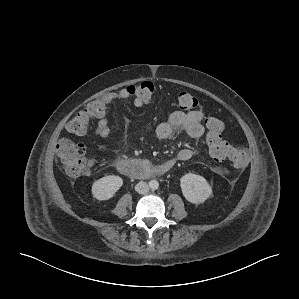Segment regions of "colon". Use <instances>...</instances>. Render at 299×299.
<instances>
[{"mask_svg": "<svg viewBox=\"0 0 299 299\" xmlns=\"http://www.w3.org/2000/svg\"><path fill=\"white\" fill-rule=\"evenodd\" d=\"M129 94L143 103L151 101L157 94L156 86L145 81L127 87ZM108 102L105 97H100L88 103L83 110L78 112L68 123L67 130L74 135H83L94 119L104 116ZM178 105L182 110L193 111L200 107L198 99L189 92H181ZM206 142L209 153L216 161L230 159L238 168H244L249 162V155L244 149L233 147L223 138L224 123L215 117L206 121ZM57 155L65 171L70 176H80L90 172L92 161L86 156V148L81 143L70 139H61L57 144Z\"/></svg>", "mask_w": 299, "mask_h": 299, "instance_id": "5ec220e1", "label": "colon"}]
</instances>
